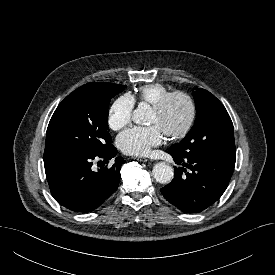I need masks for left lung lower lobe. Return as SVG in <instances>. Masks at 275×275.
<instances>
[{"label": "left lung lower lobe", "instance_id": "1", "mask_svg": "<svg viewBox=\"0 0 275 275\" xmlns=\"http://www.w3.org/2000/svg\"><path fill=\"white\" fill-rule=\"evenodd\" d=\"M178 165L174 179L161 189L163 196L184 213H197L214 204L226 190L236 157L199 152L182 157L168 149ZM189 168L191 171L186 172ZM186 175L182 176V173Z\"/></svg>", "mask_w": 275, "mask_h": 275}]
</instances>
